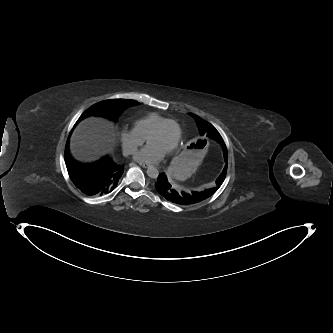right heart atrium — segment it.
Listing matches in <instances>:
<instances>
[{
    "label": "right heart atrium",
    "instance_id": "obj_1",
    "mask_svg": "<svg viewBox=\"0 0 333 333\" xmlns=\"http://www.w3.org/2000/svg\"><path fill=\"white\" fill-rule=\"evenodd\" d=\"M121 142L123 149L127 154H134L145 142V138H143L134 128L123 129L121 131Z\"/></svg>",
    "mask_w": 333,
    "mask_h": 333
}]
</instances>
